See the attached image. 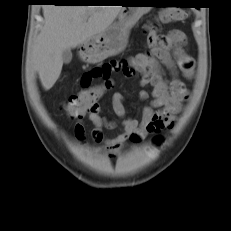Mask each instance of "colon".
Returning <instances> with one entry per match:
<instances>
[{"mask_svg": "<svg viewBox=\"0 0 231 231\" xmlns=\"http://www.w3.org/2000/svg\"><path fill=\"white\" fill-rule=\"evenodd\" d=\"M187 15V12L183 9L169 8L160 14V20L163 22H177L184 20ZM155 44L159 46L160 40H155ZM110 86L111 84H104L103 86L91 87L72 95L64 105L65 112L71 118H82L98 106V99L104 89ZM154 143L158 145L160 138H156Z\"/></svg>", "mask_w": 231, "mask_h": 231, "instance_id": "5ec220e1", "label": "colon"}]
</instances>
